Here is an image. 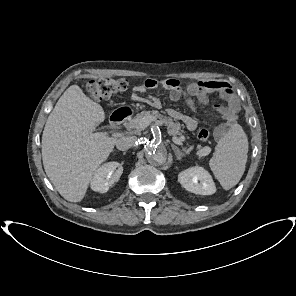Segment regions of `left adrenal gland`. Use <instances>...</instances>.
Wrapping results in <instances>:
<instances>
[{
	"label": "left adrenal gland",
	"instance_id": "1",
	"mask_svg": "<svg viewBox=\"0 0 296 296\" xmlns=\"http://www.w3.org/2000/svg\"><path fill=\"white\" fill-rule=\"evenodd\" d=\"M172 149L175 152L176 158L178 160H181L183 156H185V153H183L176 145L171 144Z\"/></svg>",
	"mask_w": 296,
	"mask_h": 296
}]
</instances>
